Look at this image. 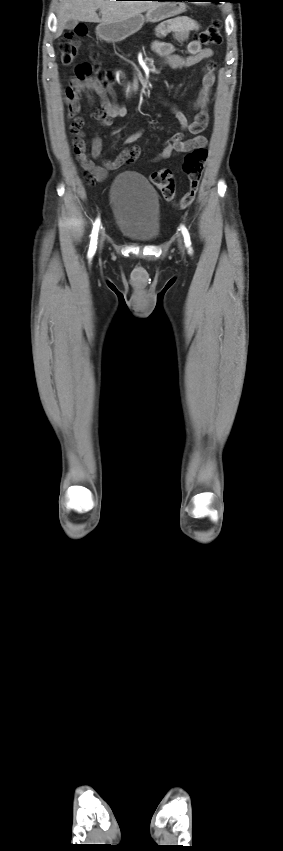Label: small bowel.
Returning a JSON list of instances; mask_svg holds the SVG:
<instances>
[{
	"mask_svg": "<svg viewBox=\"0 0 283 851\" xmlns=\"http://www.w3.org/2000/svg\"><path fill=\"white\" fill-rule=\"evenodd\" d=\"M198 27L196 21L186 17H178L160 23L156 29V35L163 37L169 33H173L177 40L185 41L189 32L198 29ZM153 49L164 59L166 65L174 69L195 66L209 59L214 54L212 49L203 48L201 43L196 40L189 41L186 44V52L188 53L186 57L175 53V47L171 43L161 40H155L153 42ZM215 67L216 65L213 62L208 63L206 66L202 77L201 89L193 106L196 111L193 120H188L182 112L171 108V111L180 124L181 130L164 141L161 151L157 156L152 158V162L167 159L174 153H185L206 146L207 138L201 135V132L207 127L209 121L207 109L215 83L213 72ZM92 92L99 96L101 103V110L96 111L94 117L103 126H111L114 118L126 115L127 109L122 105L110 101L108 93L113 94L114 90L105 87L96 78L90 76L87 64H80L75 68V77L70 80L65 90L68 118L72 119L70 132L74 137V151L76 159L89 178L95 181H103L107 177L109 170H115L123 165L130 164L139 157L141 152L140 147L138 145H129L133 144L141 136V133L128 137L125 140V144L129 147L125 148L115 159L101 158L102 141L99 137L91 140L88 149L82 129L83 119L79 116V113L81 111V97L86 96L88 99H91ZM184 132L194 134V137L184 139ZM95 160H101V165L96 164Z\"/></svg>",
	"mask_w": 283,
	"mask_h": 851,
	"instance_id": "c3829d8e",
	"label": "small bowel"
}]
</instances>
